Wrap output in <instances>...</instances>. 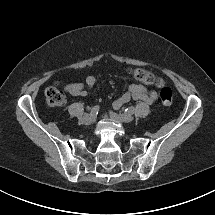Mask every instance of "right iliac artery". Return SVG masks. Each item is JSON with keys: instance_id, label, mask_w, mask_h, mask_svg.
<instances>
[{"instance_id": "obj_1", "label": "right iliac artery", "mask_w": 215, "mask_h": 215, "mask_svg": "<svg viewBox=\"0 0 215 215\" xmlns=\"http://www.w3.org/2000/svg\"><path fill=\"white\" fill-rule=\"evenodd\" d=\"M100 106L99 105H95L92 109H91V113L96 115L99 111Z\"/></svg>"}]
</instances>
